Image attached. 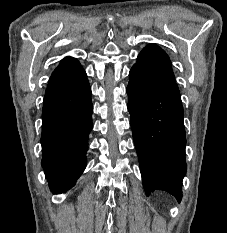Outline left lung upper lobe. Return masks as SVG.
<instances>
[{
  "instance_id": "5c2ea615",
  "label": "left lung upper lobe",
  "mask_w": 227,
  "mask_h": 233,
  "mask_svg": "<svg viewBox=\"0 0 227 233\" xmlns=\"http://www.w3.org/2000/svg\"><path fill=\"white\" fill-rule=\"evenodd\" d=\"M133 67L141 68L155 76L175 82L168 55L157 45L146 46Z\"/></svg>"
}]
</instances>
